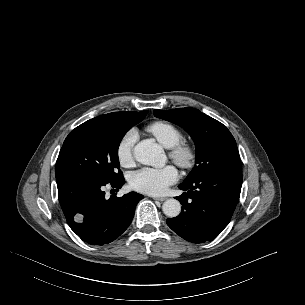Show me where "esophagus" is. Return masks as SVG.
Segmentation results:
<instances>
[{
    "label": "esophagus",
    "mask_w": 305,
    "mask_h": 305,
    "mask_svg": "<svg viewBox=\"0 0 305 305\" xmlns=\"http://www.w3.org/2000/svg\"><path fill=\"white\" fill-rule=\"evenodd\" d=\"M167 198L166 197H154V200H158V201H165Z\"/></svg>",
    "instance_id": "1"
}]
</instances>
